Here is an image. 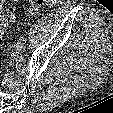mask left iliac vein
<instances>
[{
	"instance_id": "1",
	"label": "left iliac vein",
	"mask_w": 113,
	"mask_h": 113,
	"mask_svg": "<svg viewBox=\"0 0 113 113\" xmlns=\"http://www.w3.org/2000/svg\"><path fill=\"white\" fill-rule=\"evenodd\" d=\"M17 50H22L24 48V43L22 41H18L15 45Z\"/></svg>"
}]
</instances>
